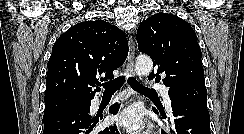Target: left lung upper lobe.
I'll use <instances>...</instances> for the list:
<instances>
[{
  "instance_id": "5c2ea615",
  "label": "left lung upper lobe",
  "mask_w": 244,
  "mask_h": 134,
  "mask_svg": "<svg viewBox=\"0 0 244 134\" xmlns=\"http://www.w3.org/2000/svg\"><path fill=\"white\" fill-rule=\"evenodd\" d=\"M136 38L139 51L153 60L149 79L159 80L163 74L171 101L207 108L201 49L186 21L167 13L154 14L139 25Z\"/></svg>"
}]
</instances>
